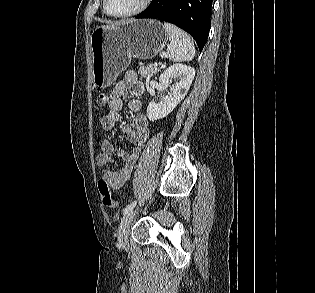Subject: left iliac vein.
<instances>
[{"instance_id": "4c4485c4", "label": "left iliac vein", "mask_w": 315, "mask_h": 293, "mask_svg": "<svg viewBox=\"0 0 315 293\" xmlns=\"http://www.w3.org/2000/svg\"><path fill=\"white\" fill-rule=\"evenodd\" d=\"M136 210H131L125 214L121 220L119 227L118 239L122 248L128 247V231Z\"/></svg>"}]
</instances>
